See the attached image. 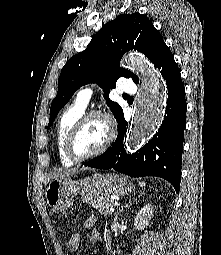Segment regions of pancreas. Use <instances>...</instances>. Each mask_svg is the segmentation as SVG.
Instances as JSON below:
<instances>
[{
	"label": "pancreas",
	"instance_id": "obj_1",
	"mask_svg": "<svg viewBox=\"0 0 221 255\" xmlns=\"http://www.w3.org/2000/svg\"><path fill=\"white\" fill-rule=\"evenodd\" d=\"M88 203L103 215L111 214L110 208L115 205L114 199H112L109 195L96 196Z\"/></svg>",
	"mask_w": 221,
	"mask_h": 255
}]
</instances>
